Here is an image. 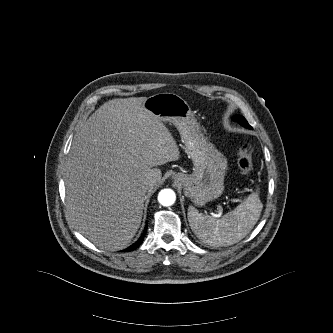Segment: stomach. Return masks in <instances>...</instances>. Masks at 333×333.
<instances>
[{"instance_id": "0dacf381", "label": "stomach", "mask_w": 333, "mask_h": 333, "mask_svg": "<svg viewBox=\"0 0 333 333\" xmlns=\"http://www.w3.org/2000/svg\"><path fill=\"white\" fill-rule=\"evenodd\" d=\"M143 106L161 121L172 123L181 135L194 164L192 174L177 173L173 177L184 194L197 206L220 197L227 161L204 135L188 103L177 94L164 92L148 97Z\"/></svg>"}]
</instances>
